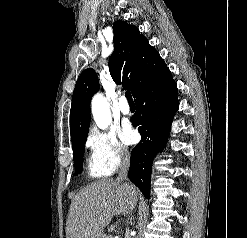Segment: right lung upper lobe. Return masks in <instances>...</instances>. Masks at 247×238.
Masks as SVG:
<instances>
[{
	"mask_svg": "<svg viewBox=\"0 0 247 238\" xmlns=\"http://www.w3.org/2000/svg\"><path fill=\"white\" fill-rule=\"evenodd\" d=\"M115 50L109 59L110 74L116 84L122 83L134 98L157 80L166 70L159 53L149 45L139 30L124 21L113 24ZM99 90L95 71L88 68L76 82L70 111L72 144L88 135L90 102Z\"/></svg>",
	"mask_w": 247,
	"mask_h": 238,
	"instance_id": "right-lung-upper-lobe-1",
	"label": "right lung upper lobe"
}]
</instances>
